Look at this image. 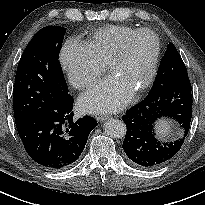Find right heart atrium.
I'll return each instance as SVG.
<instances>
[{
	"label": "right heart atrium",
	"instance_id": "d8ad5b80",
	"mask_svg": "<svg viewBox=\"0 0 205 205\" xmlns=\"http://www.w3.org/2000/svg\"><path fill=\"white\" fill-rule=\"evenodd\" d=\"M60 63L71 85L80 90L91 87L105 71L89 47L76 38L64 43Z\"/></svg>",
	"mask_w": 205,
	"mask_h": 205
}]
</instances>
